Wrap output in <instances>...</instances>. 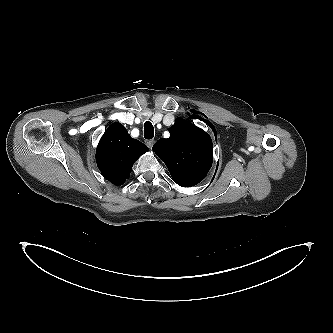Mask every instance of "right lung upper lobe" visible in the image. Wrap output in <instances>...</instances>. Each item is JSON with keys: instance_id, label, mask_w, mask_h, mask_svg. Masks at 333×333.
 I'll return each instance as SVG.
<instances>
[{"instance_id": "1", "label": "right lung upper lobe", "mask_w": 333, "mask_h": 333, "mask_svg": "<svg viewBox=\"0 0 333 333\" xmlns=\"http://www.w3.org/2000/svg\"><path fill=\"white\" fill-rule=\"evenodd\" d=\"M147 151L146 145L131 138L123 125L114 122L100 139L96 162L108 181L122 185L129 178L134 162Z\"/></svg>"}]
</instances>
